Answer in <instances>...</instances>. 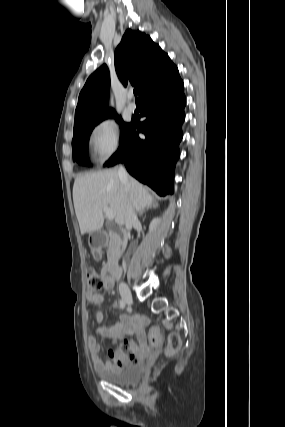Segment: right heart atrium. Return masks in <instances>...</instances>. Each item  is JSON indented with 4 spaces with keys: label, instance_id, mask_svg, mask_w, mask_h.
<instances>
[{
    "label": "right heart atrium",
    "instance_id": "obj_1",
    "mask_svg": "<svg viewBox=\"0 0 285 427\" xmlns=\"http://www.w3.org/2000/svg\"><path fill=\"white\" fill-rule=\"evenodd\" d=\"M89 144L96 160L105 162L120 148L119 126L113 119H102L95 123L89 136Z\"/></svg>",
    "mask_w": 285,
    "mask_h": 427
}]
</instances>
